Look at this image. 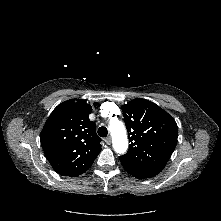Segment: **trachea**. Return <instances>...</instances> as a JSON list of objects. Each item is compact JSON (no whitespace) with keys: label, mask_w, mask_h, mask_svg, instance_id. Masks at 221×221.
Masks as SVG:
<instances>
[{"label":"trachea","mask_w":221,"mask_h":221,"mask_svg":"<svg viewBox=\"0 0 221 221\" xmlns=\"http://www.w3.org/2000/svg\"><path fill=\"white\" fill-rule=\"evenodd\" d=\"M98 134L100 137H106L108 135V130L106 127L102 126L98 129Z\"/></svg>","instance_id":"3493384b"}]
</instances>
